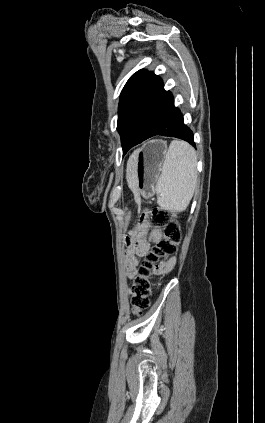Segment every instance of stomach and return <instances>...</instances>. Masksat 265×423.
<instances>
[{
  "label": "stomach",
  "instance_id": "stomach-1",
  "mask_svg": "<svg viewBox=\"0 0 265 423\" xmlns=\"http://www.w3.org/2000/svg\"><path fill=\"white\" fill-rule=\"evenodd\" d=\"M167 153V144L163 140L147 141L134 152L136 180L140 192L147 196L154 193V184L158 179Z\"/></svg>",
  "mask_w": 265,
  "mask_h": 423
}]
</instances>
